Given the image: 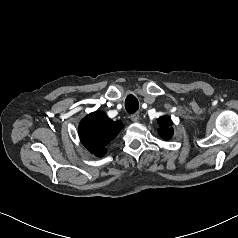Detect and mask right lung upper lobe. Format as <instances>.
Masks as SVG:
<instances>
[{
  "instance_id": "obj_1",
  "label": "right lung upper lobe",
  "mask_w": 238,
  "mask_h": 238,
  "mask_svg": "<svg viewBox=\"0 0 238 238\" xmlns=\"http://www.w3.org/2000/svg\"><path fill=\"white\" fill-rule=\"evenodd\" d=\"M123 127L121 121H112L103 112L87 115L79 124V137L82 144L95 156L106 153V145L118 135Z\"/></svg>"
}]
</instances>
